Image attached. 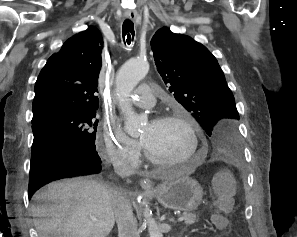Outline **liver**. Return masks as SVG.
<instances>
[{
  "label": "liver",
  "mask_w": 297,
  "mask_h": 237,
  "mask_svg": "<svg viewBox=\"0 0 297 237\" xmlns=\"http://www.w3.org/2000/svg\"><path fill=\"white\" fill-rule=\"evenodd\" d=\"M115 192L85 177L50 183L33 196L41 202L31 207L39 237L108 236L115 223Z\"/></svg>",
  "instance_id": "liver-1"
}]
</instances>
